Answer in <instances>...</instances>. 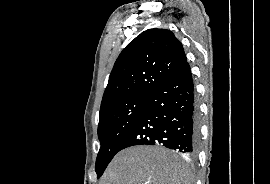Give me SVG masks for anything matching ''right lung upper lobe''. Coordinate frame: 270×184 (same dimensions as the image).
<instances>
[{
	"label": "right lung upper lobe",
	"instance_id": "obj_1",
	"mask_svg": "<svg viewBox=\"0 0 270 184\" xmlns=\"http://www.w3.org/2000/svg\"><path fill=\"white\" fill-rule=\"evenodd\" d=\"M187 63L182 43L166 29H148L117 58L101 107L130 96H148Z\"/></svg>",
	"mask_w": 270,
	"mask_h": 184
}]
</instances>
